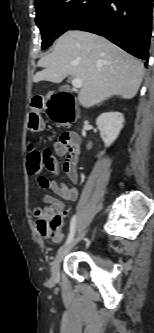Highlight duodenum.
Instances as JSON below:
<instances>
[{
    "label": "duodenum",
    "instance_id": "410a0bca",
    "mask_svg": "<svg viewBox=\"0 0 154 333\" xmlns=\"http://www.w3.org/2000/svg\"><path fill=\"white\" fill-rule=\"evenodd\" d=\"M53 112H55L60 118L74 121L77 117L74 106V97L69 93L57 94Z\"/></svg>",
    "mask_w": 154,
    "mask_h": 333
}]
</instances>
